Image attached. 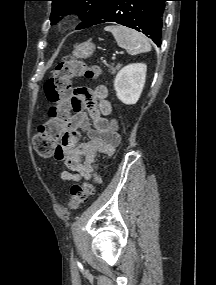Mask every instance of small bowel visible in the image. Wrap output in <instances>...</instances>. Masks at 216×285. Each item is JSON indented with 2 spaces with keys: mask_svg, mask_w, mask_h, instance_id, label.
I'll return each instance as SVG.
<instances>
[{
  "mask_svg": "<svg viewBox=\"0 0 216 285\" xmlns=\"http://www.w3.org/2000/svg\"><path fill=\"white\" fill-rule=\"evenodd\" d=\"M111 113L112 105L105 86L95 89L80 87L75 90L73 112L54 154L68 169L60 172L63 180H88L94 170L97 153H114L120 143V136L115 120L109 119ZM79 129L87 132V141L78 142Z\"/></svg>",
  "mask_w": 216,
  "mask_h": 285,
  "instance_id": "obj_1",
  "label": "small bowel"
}]
</instances>
